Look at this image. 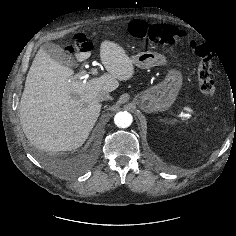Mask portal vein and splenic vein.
I'll return each instance as SVG.
<instances>
[{
    "label": "portal vein and splenic vein",
    "mask_w": 236,
    "mask_h": 236,
    "mask_svg": "<svg viewBox=\"0 0 236 236\" xmlns=\"http://www.w3.org/2000/svg\"><path fill=\"white\" fill-rule=\"evenodd\" d=\"M98 73V71H97V69L96 68H93L92 70H91V74L92 75H96ZM84 75V76H83ZM78 78L79 79H87L88 78V75H85L84 74V72H82L79 76H78ZM185 111H187V112H189V113H191V114H193L194 113V111L192 110V109H190V108H188V107H184L183 108Z\"/></svg>",
    "instance_id": "obj_1"
}]
</instances>
